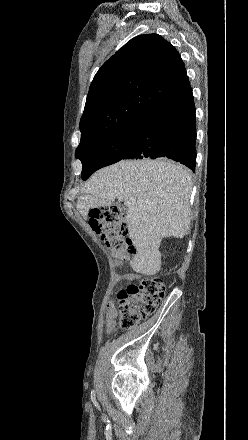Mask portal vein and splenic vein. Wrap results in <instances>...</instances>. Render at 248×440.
<instances>
[{
    "label": "portal vein and splenic vein",
    "instance_id": "obj_1",
    "mask_svg": "<svg viewBox=\"0 0 248 440\" xmlns=\"http://www.w3.org/2000/svg\"><path fill=\"white\" fill-rule=\"evenodd\" d=\"M133 203V200H127V201H125V205L126 206H130L131 204Z\"/></svg>",
    "mask_w": 248,
    "mask_h": 440
}]
</instances>
